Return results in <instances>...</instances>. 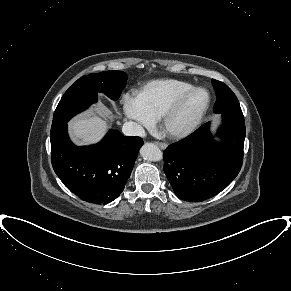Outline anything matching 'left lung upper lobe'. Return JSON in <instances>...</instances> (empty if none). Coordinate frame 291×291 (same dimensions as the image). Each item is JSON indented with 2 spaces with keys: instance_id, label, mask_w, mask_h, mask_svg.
I'll list each match as a JSON object with an SVG mask.
<instances>
[{
  "instance_id": "left-lung-upper-lobe-1",
  "label": "left lung upper lobe",
  "mask_w": 291,
  "mask_h": 291,
  "mask_svg": "<svg viewBox=\"0 0 291 291\" xmlns=\"http://www.w3.org/2000/svg\"><path fill=\"white\" fill-rule=\"evenodd\" d=\"M212 84L217 95L214 112L243 115L238 99L232 90L223 82L214 79H212Z\"/></svg>"
}]
</instances>
